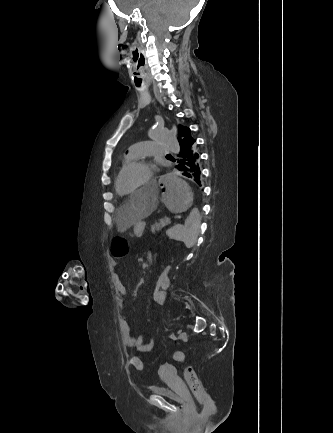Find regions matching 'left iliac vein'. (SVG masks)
<instances>
[{"label": "left iliac vein", "instance_id": "obj_1", "mask_svg": "<svg viewBox=\"0 0 333 433\" xmlns=\"http://www.w3.org/2000/svg\"><path fill=\"white\" fill-rule=\"evenodd\" d=\"M187 337V334L185 333V332H181L180 334H179V338L180 339H185Z\"/></svg>", "mask_w": 333, "mask_h": 433}]
</instances>
